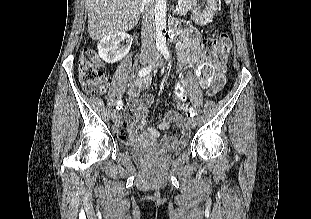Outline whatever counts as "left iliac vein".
I'll return each instance as SVG.
<instances>
[{"label": "left iliac vein", "instance_id": "1", "mask_svg": "<svg viewBox=\"0 0 311 219\" xmlns=\"http://www.w3.org/2000/svg\"><path fill=\"white\" fill-rule=\"evenodd\" d=\"M162 65H163L162 59H159L158 61H156V67H161ZM188 125L191 128H195L197 125L196 119L194 117L189 118Z\"/></svg>", "mask_w": 311, "mask_h": 219}]
</instances>
